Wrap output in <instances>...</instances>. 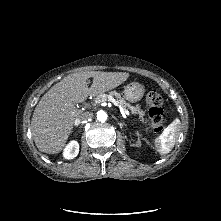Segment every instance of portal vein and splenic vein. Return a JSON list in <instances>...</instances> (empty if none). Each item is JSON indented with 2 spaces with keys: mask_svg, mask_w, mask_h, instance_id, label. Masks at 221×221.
<instances>
[{
  "mask_svg": "<svg viewBox=\"0 0 221 221\" xmlns=\"http://www.w3.org/2000/svg\"><path fill=\"white\" fill-rule=\"evenodd\" d=\"M106 100L113 103L116 107H119L123 116L130 115V112L127 109H123L122 106L111 96H103L102 98H96L95 104H100L101 102L106 101Z\"/></svg>",
  "mask_w": 221,
  "mask_h": 221,
  "instance_id": "obj_1",
  "label": "portal vein and splenic vein"
}]
</instances>
